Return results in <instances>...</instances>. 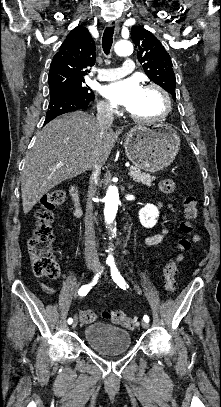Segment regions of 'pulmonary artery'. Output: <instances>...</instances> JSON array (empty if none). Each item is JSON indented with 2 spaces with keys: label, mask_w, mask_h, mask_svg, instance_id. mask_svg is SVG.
Segmentation results:
<instances>
[{
  "label": "pulmonary artery",
  "mask_w": 221,
  "mask_h": 407,
  "mask_svg": "<svg viewBox=\"0 0 221 407\" xmlns=\"http://www.w3.org/2000/svg\"><path fill=\"white\" fill-rule=\"evenodd\" d=\"M135 64L132 57H124L123 64L117 68H103L97 75V79L100 81H110L118 79L126 74L133 72Z\"/></svg>",
  "instance_id": "obj_1"
}]
</instances>
